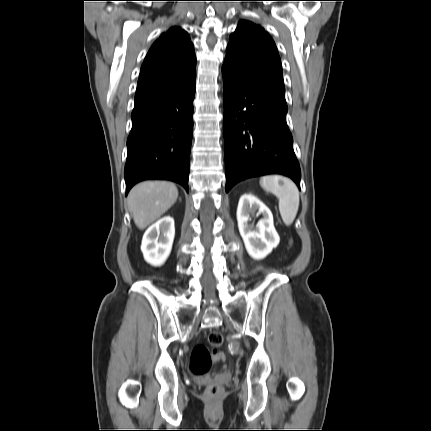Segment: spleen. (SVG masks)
<instances>
[{
  "label": "spleen",
  "instance_id": "1",
  "mask_svg": "<svg viewBox=\"0 0 431 431\" xmlns=\"http://www.w3.org/2000/svg\"><path fill=\"white\" fill-rule=\"evenodd\" d=\"M261 187L279 199V211L283 222L293 223L299 208V191L293 181L279 175H268L260 179Z\"/></svg>",
  "mask_w": 431,
  "mask_h": 431
}]
</instances>
